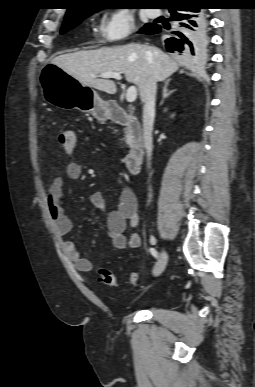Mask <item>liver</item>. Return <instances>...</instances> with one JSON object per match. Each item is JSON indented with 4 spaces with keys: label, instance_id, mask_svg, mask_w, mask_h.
<instances>
[{
    "label": "liver",
    "instance_id": "6515ba94",
    "mask_svg": "<svg viewBox=\"0 0 255 387\" xmlns=\"http://www.w3.org/2000/svg\"><path fill=\"white\" fill-rule=\"evenodd\" d=\"M52 63L81 84L115 94L114 81L98 78L106 72L125 75L129 83L135 84L140 92L152 76L164 81L178 70V65L160 49L140 44L102 47L96 50H82L55 57Z\"/></svg>",
    "mask_w": 255,
    "mask_h": 387
}]
</instances>
